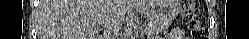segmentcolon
I'll use <instances>...</instances> for the list:
<instances>
[{
  "instance_id": "obj_1",
  "label": "colon",
  "mask_w": 249,
  "mask_h": 39,
  "mask_svg": "<svg viewBox=\"0 0 249 39\" xmlns=\"http://www.w3.org/2000/svg\"><path fill=\"white\" fill-rule=\"evenodd\" d=\"M184 18L191 31L193 39H203L207 36V30L200 24L197 19L198 1L186 0L182 8Z\"/></svg>"
}]
</instances>
